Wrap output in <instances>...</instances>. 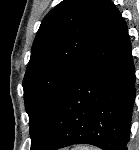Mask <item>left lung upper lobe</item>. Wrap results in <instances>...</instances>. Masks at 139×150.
<instances>
[{
	"label": "left lung upper lobe",
	"instance_id": "1",
	"mask_svg": "<svg viewBox=\"0 0 139 150\" xmlns=\"http://www.w3.org/2000/svg\"><path fill=\"white\" fill-rule=\"evenodd\" d=\"M111 0H63L42 20L23 79L31 146L49 121L50 110L97 35Z\"/></svg>",
	"mask_w": 139,
	"mask_h": 150
}]
</instances>
